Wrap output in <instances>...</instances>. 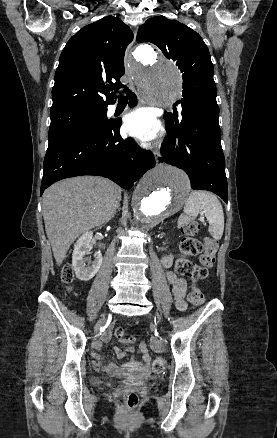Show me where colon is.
Segmentation results:
<instances>
[{
    "instance_id": "1",
    "label": "colon",
    "mask_w": 277,
    "mask_h": 438,
    "mask_svg": "<svg viewBox=\"0 0 277 438\" xmlns=\"http://www.w3.org/2000/svg\"><path fill=\"white\" fill-rule=\"evenodd\" d=\"M182 240L180 242V257L176 259L175 269L179 276L189 277L193 281H198L206 277L207 272L213 267L215 262L216 242L210 236L198 237L200 229L199 223L188 218H182L179 222ZM199 256L200 264L188 259L190 257ZM64 278L72 279V271L70 268H64ZM70 292L71 290L68 289ZM188 300L193 306H199L204 302V295L200 289H192L189 292ZM117 338L128 343H133V339L125 336L122 328L117 327L114 330ZM165 360L162 357H157L154 362V371L161 373L165 367ZM123 398L124 409H139L140 395L136 389H121L119 392Z\"/></svg>"
}]
</instances>
